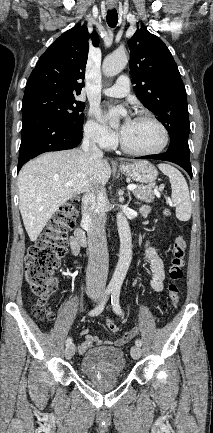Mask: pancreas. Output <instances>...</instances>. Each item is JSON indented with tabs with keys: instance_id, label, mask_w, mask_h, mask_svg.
Returning a JSON list of instances; mask_svg holds the SVG:
<instances>
[{
	"instance_id": "cf45deb5",
	"label": "pancreas",
	"mask_w": 213,
	"mask_h": 433,
	"mask_svg": "<svg viewBox=\"0 0 213 433\" xmlns=\"http://www.w3.org/2000/svg\"><path fill=\"white\" fill-rule=\"evenodd\" d=\"M135 197L146 203H152L155 199L154 184H149L147 186H137L133 190Z\"/></svg>"
}]
</instances>
